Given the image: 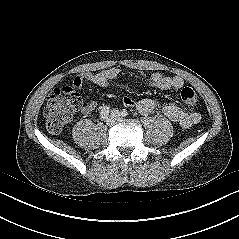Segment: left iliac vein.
Listing matches in <instances>:
<instances>
[{
  "instance_id": "left-iliac-vein-1",
  "label": "left iliac vein",
  "mask_w": 239,
  "mask_h": 239,
  "mask_svg": "<svg viewBox=\"0 0 239 239\" xmlns=\"http://www.w3.org/2000/svg\"><path fill=\"white\" fill-rule=\"evenodd\" d=\"M111 116L114 117L115 120H122L123 119V116L121 115V113L116 109H113L111 111Z\"/></svg>"
}]
</instances>
